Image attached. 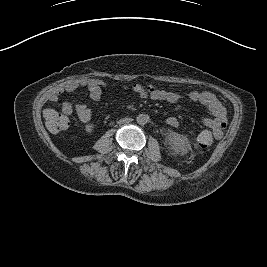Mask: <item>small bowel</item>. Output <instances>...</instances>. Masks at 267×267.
<instances>
[{
    "instance_id": "small-bowel-1",
    "label": "small bowel",
    "mask_w": 267,
    "mask_h": 267,
    "mask_svg": "<svg viewBox=\"0 0 267 267\" xmlns=\"http://www.w3.org/2000/svg\"><path fill=\"white\" fill-rule=\"evenodd\" d=\"M109 85L99 79L82 78L69 82L59 94L63 92H72L79 87H85L88 90L89 98L93 101H98L102 96V91ZM138 95L141 98H149L151 100H165L169 103H178L184 97L190 102L200 104L208 109L211 117H205L201 119V123L209 130L201 132L199 135H203L208 138L212 144L213 140L220 139L223 136V131L227 125L226 109L219 99L211 92L191 90L186 94H182L177 91L156 90L153 93H148L143 89L138 90ZM58 99V96L53 98ZM62 111L65 114H71L76 112L79 120L85 124L84 131L90 133L94 129V125L91 120V109L85 103L77 102L75 104L68 101L63 102ZM167 124L171 127H178L179 121L176 117H168Z\"/></svg>"
}]
</instances>
